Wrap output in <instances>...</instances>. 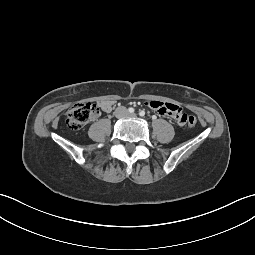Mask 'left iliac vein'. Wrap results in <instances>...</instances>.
<instances>
[{
    "instance_id": "obj_1",
    "label": "left iliac vein",
    "mask_w": 255,
    "mask_h": 255,
    "mask_svg": "<svg viewBox=\"0 0 255 255\" xmlns=\"http://www.w3.org/2000/svg\"><path fill=\"white\" fill-rule=\"evenodd\" d=\"M128 117H130V118H136V117H137V114H135V113L129 114Z\"/></svg>"
}]
</instances>
